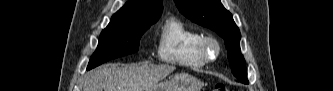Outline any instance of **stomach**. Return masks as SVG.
Returning <instances> with one entry per match:
<instances>
[{
    "label": "stomach",
    "instance_id": "1",
    "mask_svg": "<svg viewBox=\"0 0 333 91\" xmlns=\"http://www.w3.org/2000/svg\"><path fill=\"white\" fill-rule=\"evenodd\" d=\"M202 83L187 73L175 74L157 83L150 91H200Z\"/></svg>",
    "mask_w": 333,
    "mask_h": 91
}]
</instances>
